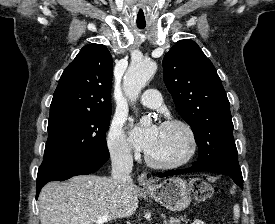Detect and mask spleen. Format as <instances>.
Listing matches in <instances>:
<instances>
[{
    "label": "spleen",
    "instance_id": "spleen-1",
    "mask_svg": "<svg viewBox=\"0 0 275 224\" xmlns=\"http://www.w3.org/2000/svg\"><path fill=\"white\" fill-rule=\"evenodd\" d=\"M239 216H240V208H239V205H235V206H234V219H235V221H238Z\"/></svg>",
    "mask_w": 275,
    "mask_h": 224
}]
</instances>
